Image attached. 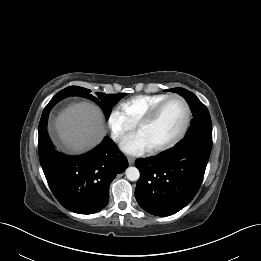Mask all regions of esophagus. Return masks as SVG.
<instances>
[{"mask_svg": "<svg viewBox=\"0 0 261 261\" xmlns=\"http://www.w3.org/2000/svg\"><path fill=\"white\" fill-rule=\"evenodd\" d=\"M127 160H128V163H129L130 165H133L134 162H135V158H134V157H131V156L127 157Z\"/></svg>", "mask_w": 261, "mask_h": 261, "instance_id": "obj_1", "label": "esophagus"}]
</instances>
